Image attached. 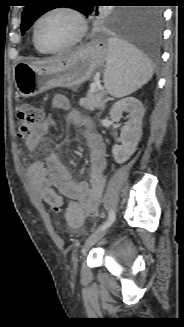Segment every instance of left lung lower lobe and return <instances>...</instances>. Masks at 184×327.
<instances>
[{
    "mask_svg": "<svg viewBox=\"0 0 184 327\" xmlns=\"http://www.w3.org/2000/svg\"><path fill=\"white\" fill-rule=\"evenodd\" d=\"M124 36L136 49L158 56L162 37V12L154 7L140 9L135 22L125 28Z\"/></svg>",
    "mask_w": 184,
    "mask_h": 327,
    "instance_id": "1",
    "label": "left lung lower lobe"
}]
</instances>
